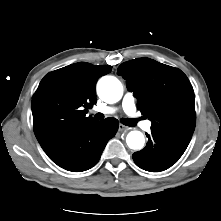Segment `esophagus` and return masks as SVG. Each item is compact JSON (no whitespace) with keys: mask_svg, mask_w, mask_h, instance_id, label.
<instances>
[{"mask_svg":"<svg viewBox=\"0 0 221 221\" xmlns=\"http://www.w3.org/2000/svg\"><path fill=\"white\" fill-rule=\"evenodd\" d=\"M127 130H129V128L128 127H126V126H124V125H122V124H120L119 125V131H127Z\"/></svg>","mask_w":221,"mask_h":221,"instance_id":"esophagus-1","label":"esophagus"}]
</instances>
